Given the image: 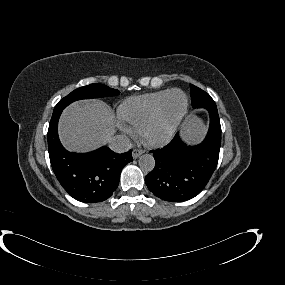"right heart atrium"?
Masks as SVG:
<instances>
[{
  "label": "right heart atrium",
  "mask_w": 285,
  "mask_h": 285,
  "mask_svg": "<svg viewBox=\"0 0 285 285\" xmlns=\"http://www.w3.org/2000/svg\"><path fill=\"white\" fill-rule=\"evenodd\" d=\"M125 131H126V132H130V129H128V128H125Z\"/></svg>",
  "instance_id": "d8ad5b80"
}]
</instances>
